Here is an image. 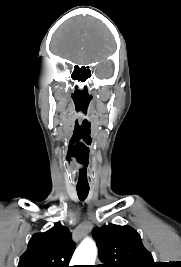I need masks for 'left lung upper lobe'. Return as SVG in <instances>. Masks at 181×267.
I'll list each match as a JSON object with an SVG mask.
<instances>
[{
    "label": "left lung upper lobe",
    "instance_id": "1",
    "mask_svg": "<svg viewBox=\"0 0 181 267\" xmlns=\"http://www.w3.org/2000/svg\"><path fill=\"white\" fill-rule=\"evenodd\" d=\"M93 238L99 249V258L105 263L99 267H156L136 230L129 226L109 224L95 227Z\"/></svg>",
    "mask_w": 181,
    "mask_h": 267
}]
</instances>
